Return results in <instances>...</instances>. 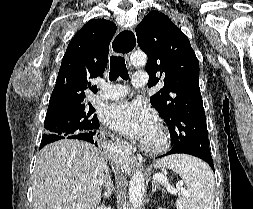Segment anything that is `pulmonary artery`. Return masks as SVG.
Segmentation results:
<instances>
[{
    "label": "pulmonary artery",
    "mask_w": 253,
    "mask_h": 209,
    "mask_svg": "<svg viewBox=\"0 0 253 209\" xmlns=\"http://www.w3.org/2000/svg\"><path fill=\"white\" fill-rule=\"evenodd\" d=\"M132 84L137 87H144L147 84V74L145 71H137L132 78ZM101 91L96 94V98L103 100L118 99L125 96L128 93V89L125 85L121 84H103L101 85Z\"/></svg>",
    "instance_id": "pulmonary-artery-1"
}]
</instances>
